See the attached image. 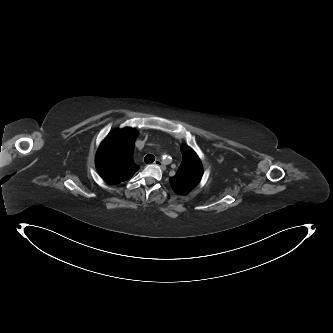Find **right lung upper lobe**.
<instances>
[{"label":"right lung upper lobe","instance_id":"1","mask_svg":"<svg viewBox=\"0 0 333 333\" xmlns=\"http://www.w3.org/2000/svg\"><path fill=\"white\" fill-rule=\"evenodd\" d=\"M138 132L131 128L114 129L101 143L96 154V169L109 184H119L130 179L139 169L133 161V151Z\"/></svg>","mask_w":333,"mask_h":333}]
</instances>
